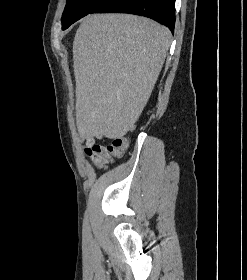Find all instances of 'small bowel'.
Masks as SVG:
<instances>
[{"instance_id":"c3829d8e","label":"small bowel","mask_w":247,"mask_h":280,"mask_svg":"<svg viewBox=\"0 0 247 280\" xmlns=\"http://www.w3.org/2000/svg\"><path fill=\"white\" fill-rule=\"evenodd\" d=\"M104 137L101 133H96L92 136H85L83 138V141L85 142V146H86V153L88 154L90 152V150L97 145L96 141L97 140H103Z\"/></svg>"}]
</instances>
